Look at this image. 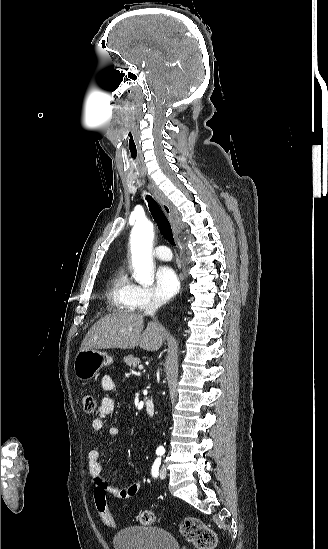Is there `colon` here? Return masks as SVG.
Wrapping results in <instances>:
<instances>
[{
    "label": "colon",
    "mask_w": 328,
    "mask_h": 549,
    "mask_svg": "<svg viewBox=\"0 0 328 549\" xmlns=\"http://www.w3.org/2000/svg\"><path fill=\"white\" fill-rule=\"evenodd\" d=\"M97 402L92 395H86L83 398V409L87 414H93L96 411ZM106 489L102 484L95 485L94 499L98 514L108 527H114L116 522L113 515L107 507ZM156 520L155 513L151 510H143L139 513L138 521L143 526H150ZM182 537L193 544L197 549H213L217 544L215 532L201 520L194 517L185 518L180 525Z\"/></svg>",
    "instance_id": "obj_1"
}]
</instances>
